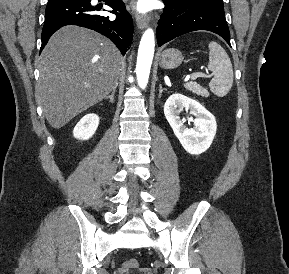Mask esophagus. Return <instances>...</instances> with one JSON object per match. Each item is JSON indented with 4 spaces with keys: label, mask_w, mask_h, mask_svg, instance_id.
I'll use <instances>...</instances> for the list:
<instances>
[{
    "label": "esophagus",
    "mask_w": 289,
    "mask_h": 274,
    "mask_svg": "<svg viewBox=\"0 0 289 274\" xmlns=\"http://www.w3.org/2000/svg\"><path fill=\"white\" fill-rule=\"evenodd\" d=\"M148 17L136 14V24L139 29H144L148 24Z\"/></svg>",
    "instance_id": "1"
}]
</instances>
